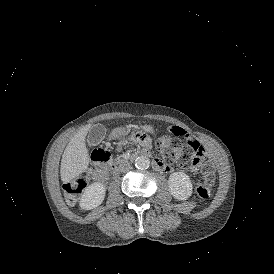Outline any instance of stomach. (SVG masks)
Returning a JSON list of instances; mask_svg holds the SVG:
<instances>
[{"label":"stomach","mask_w":274,"mask_h":274,"mask_svg":"<svg viewBox=\"0 0 274 274\" xmlns=\"http://www.w3.org/2000/svg\"><path fill=\"white\" fill-rule=\"evenodd\" d=\"M142 129L146 132H149V133H153V127L151 125H144L142 127ZM128 133V130L125 129V128H115L112 130V132L110 133V138H121V137H124L125 135H127Z\"/></svg>","instance_id":"obj_1"}]
</instances>
